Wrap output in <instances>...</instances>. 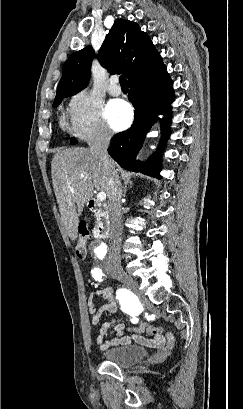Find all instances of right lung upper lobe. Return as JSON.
Returning a JSON list of instances; mask_svg holds the SVG:
<instances>
[{
  "label": "right lung upper lobe",
  "instance_id": "right-lung-upper-lobe-1",
  "mask_svg": "<svg viewBox=\"0 0 243 409\" xmlns=\"http://www.w3.org/2000/svg\"><path fill=\"white\" fill-rule=\"evenodd\" d=\"M94 55L93 48L87 46L66 60L55 100L74 95L87 86ZM97 58L111 74L126 73L128 83L150 75L164 65L147 34L138 24L124 19L115 21Z\"/></svg>",
  "mask_w": 243,
  "mask_h": 409
}]
</instances>
